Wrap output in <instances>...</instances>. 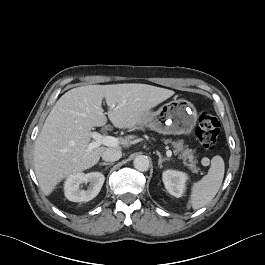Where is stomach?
I'll use <instances>...</instances> for the list:
<instances>
[{
    "mask_svg": "<svg viewBox=\"0 0 265 265\" xmlns=\"http://www.w3.org/2000/svg\"><path fill=\"white\" fill-rule=\"evenodd\" d=\"M197 122L195 106L185 99H174L157 111H149L140 126H146L161 134L189 135Z\"/></svg>",
    "mask_w": 265,
    "mask_h": 265,
    "instance_id": "1",
    "label": "stomach"
}]
</instances>
